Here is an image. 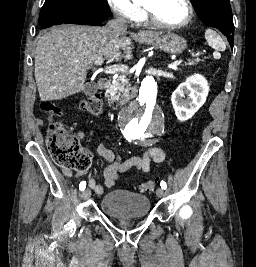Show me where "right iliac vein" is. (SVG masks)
I'll return each instance as SVG.
<instances>
[{
	"label": "right iliac vein",
	"instance_id": "right-iliac-vein-1",
	"mask_svg": "<svg viewBox=\"0 0 256 267\" xmlns=\"http://www.w3.org/2000/svg\"><path fill=\"white\" fill-rule=\"evenodd\" d=\"M90 196H91V191H90V189H86V190L83 191V193H82V197H83L84 200L89 199Z\"/></svg>",
	"mask_w": 256,
	"mask_h": 267
}]
</instances>
